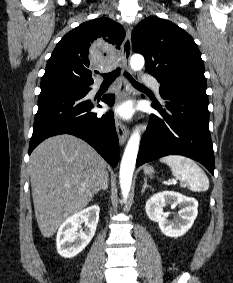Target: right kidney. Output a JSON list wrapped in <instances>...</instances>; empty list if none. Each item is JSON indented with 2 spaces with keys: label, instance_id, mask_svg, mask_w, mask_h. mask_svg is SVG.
Returning a JSON list of instances; mask_svg holds the SVG:
<instances>
[{
  "label": "right kidney",
  "instance_id": "ca27d5eb",
  "mask_svg": "<svg viewBox=\"0 0 233 283\" xmlns=\"http://www.w3.org/2000/svg\"><path fill=\"white\" fill-rule=\"evenodd\" d=\"M100 208L92 205L69 217L59 228L56 237L57 251L64 258L78 255L92 240L98 220ZM85 223V228L81 224ZM78 229H80L78 231Z\"/></svg>",
  "mask_w": 233,
  "mask_h": 283
}]
</instances>
